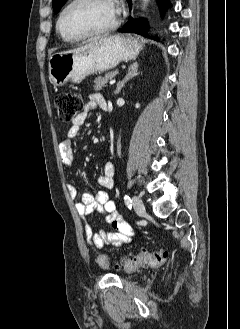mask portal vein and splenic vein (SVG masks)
I'll list each match as a JSON object with an SVG mask.
<instances>
[{
	"label": "portal vein and splenic vein",
	"mask_w": 240,
	"mask_h": 329,
	"mask_svg": "<svg viewBox=\"0 0 240 329\" xmlns=\"http://www.w3.org/2000/svg\"><path fill=\"white\" fill-rule=\"evenodd\" d=\"M115 82H116L115 79L111 80V81H110V85H113Z\"/></svg>",
	"instance_id": "portal-vein-and-splenic-vein-1"
}]
</instances>
